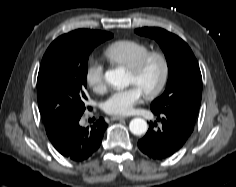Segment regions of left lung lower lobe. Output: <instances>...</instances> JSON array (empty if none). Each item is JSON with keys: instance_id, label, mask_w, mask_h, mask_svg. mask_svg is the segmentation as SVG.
Segmentation results:
<instances>
[{"instance_id": "0a47b994", "label": "left lung lower lobe", "mask_w": 236, "mask_h": 187, "mask_svg": "<svg viewBox=\"0 0 236 187\" xmlns=\"http://www.w3.org/2000/svg\"><path fill=\"white\" fill-rule=\"evenodd\" d=\"M162 127L150 122L146 135L138 141L139 149L153 159H164L178 151L193 131L194 123L173 114H158ZM161 116L162 118L160 119Z\"/></svg>"}]
</instances>
